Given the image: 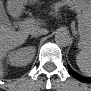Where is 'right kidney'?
Wrapping results in <instances>:
<instances>
[{
    "label": "right kidney",
    "mask_w": 91,
    "mask_h": 91,
    "mask_svg": "<svg viewBox=\"0 0 91 91\" xmlns=\"http://www.w3.org/2000/svg\"><path fill=\"white\" fill-rule=\"evenodd\" d=\"M29 50H30L29 48L25 47V48H21L19 50L12 51L7 55V60L12 65H18V64H20L22 59L25 56H27Z\"/></svg>",
    "instance_id": "right-kidney-1"
}]
</instances>
